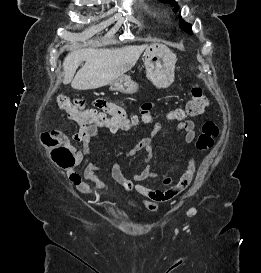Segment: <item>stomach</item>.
<instances>
[{
	"label": "stomach",
	"mask_w": 261,
	"mask_h": 273,
	"mask_svg": "<svg viewBox=\"0 0 261 273\" xmlns=\"http://www.w3.org/2000/svg\"><path fill=\"white\" fill-rule=\"evenodd\" d=\"M145 70L147 78L158 88H166L174 81L176 59L174 54L163 44H152L145 49ZM112 90L132 94L138 85L130 76L121 75L110 83Z\"/></svg>",
	"instance_id": "stomach-1"
}]
</instances>
